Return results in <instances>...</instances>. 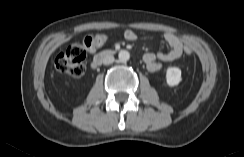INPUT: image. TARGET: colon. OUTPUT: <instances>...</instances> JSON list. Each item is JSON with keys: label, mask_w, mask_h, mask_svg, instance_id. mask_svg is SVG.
<instances>
[{"label": "colon", "mask_w": 244, "mask_h": 157, "mask_svg": "<svg viewBox=\"0 0 244 157\" xmlns=\"http://www.w3.org/2000/svg\"><path fill=\"white\" fill-rule=\"evenodd\" d=\"M108 37L106 34L88 35L81 43L73 44L60 54L55 60L56 69L72 77H80L85 71L84 61L87 51H94L104 45ZM184 53L190 55L192 48L185 45Z\"/></svg>", "instance_id": "obj_1"}]
</instances>
